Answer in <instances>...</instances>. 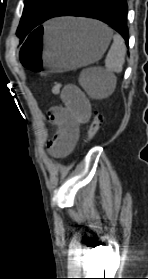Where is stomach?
Masks as SVG:
<instances>
[{"mask_svg":"<svg viewBox=\"0 0 148 279\" xmlns=\"http://www.w3.org/2000/svg\"><path fill=\"white\" fill-rule=\"evenodd\" d=\"M38 34H28L21 49V68L29 78H44L41 72H64L99 60L112 38L111 30L96 21L62 19L36 24Z\"/></svg>","mask_w":148,"mask_h":279,"instance_id":"obj_1","label":"stomach"}]
</instances>
